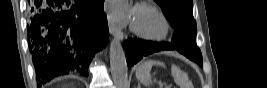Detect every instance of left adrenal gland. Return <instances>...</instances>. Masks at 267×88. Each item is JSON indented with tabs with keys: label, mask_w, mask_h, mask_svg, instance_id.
<instances>
[{
	"label": "left adrenal gland",
	"mask_w": 267,
	"mask_h": 88,
	"mask_svg": "<svg viewBox=\"0 0 267 88\" xmlns=\"http://www.w3.org/2000/svg\"><path fill=\"white\" fill-rule=\"evenodd\" d=\"M137 88H141L140 84H138Z\"/></svg>",
	"instance_id": "left-adrenal-gland-1"
}]
</instances>
